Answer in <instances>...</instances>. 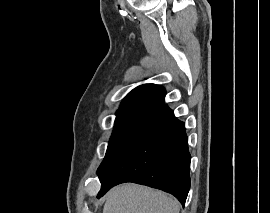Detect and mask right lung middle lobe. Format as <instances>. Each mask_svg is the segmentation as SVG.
<instances>
[{
    "label": "right lung middle lobe",
    "instance_id": "obj_1",
    "mask_svg": "<svg viewBox=\"0 0 270 213\" xmlns=\"http://www.w3.org/2000/svg\"><path fill=\"white\" fill-rule=\"evenodd\" d=\"M154 108L153 106L139 105L121 108L117 111L114 130L108 144L105 158L97 170L98 173L105 169L139 124Z\"/></svg>",
    "mask_w": 270,
    "mask_h": 213
}]
</instances>
